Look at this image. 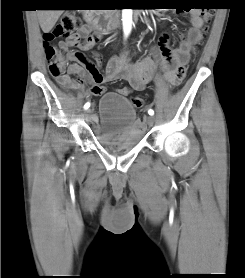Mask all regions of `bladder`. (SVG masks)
Returning a JSON list of instances; mask_svg holds the SVG:
<instances>
[{
    "label": "bladder",
    "mask_w": 245,
    "mask_h": 278,
    "mask_svg": "<svg viewBox=\"0 0 245 278\" xmlns=\"http://www.w3.org/2000/svg\"><path fill=\"white\" fill-rule=\"evenodd\" d=\"M99 121L95 134L98 142L113 150H128L141 144L144 131L139 127L135 106L115 92L100 98Z\"/></svg>",
    "instance_id": "bladder-1"
}]
</instances>
